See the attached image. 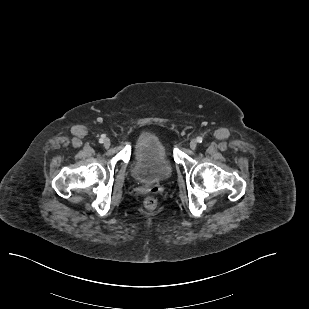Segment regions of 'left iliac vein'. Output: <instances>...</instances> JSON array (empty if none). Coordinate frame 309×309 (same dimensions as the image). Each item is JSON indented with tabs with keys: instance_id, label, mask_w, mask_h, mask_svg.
Masks as SVG:
<instances>
[{
	"instance_id": "4c4485c4",
	"label": "left iliac vein",
	"mask_w": 309,
	"mask_h": 309,
	"mask_svg": "<svg viewBox=\"0 0 309 309\" xmlns=\"http://www.w3.org/2000/svg\"><path fill=\"white\" fill-rule=\"evenodd\" d=\"M196 147H197V141L194 140V139L191 140V142H190V148L194 150Z\"/></svg>"
}]
</instances>
